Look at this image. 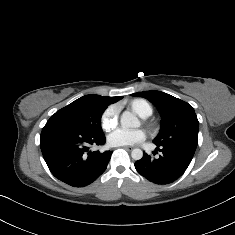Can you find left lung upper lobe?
Returning <instances> with one entry per match:
<instances>
[{"instance_id": "left-lung-upper-lobe-1", "label": "left lung upper lobe", "mask_w": 235, "mask_h": 235, "mask_svg": "<svg viewBox=\"0 0 235 235\" xmlns=\"http://www.w3.org/2000/svg\"><path fill=\"white\" fill-rule=\"evenodd\" d=\"M132 95L148 99L161 114V129L153 140L156 146L178 144L196 150L199 122L190 104L156 90Z\"/></svg>"}]
</instances>
